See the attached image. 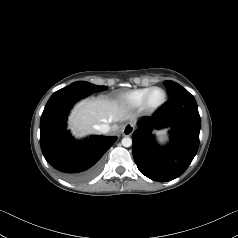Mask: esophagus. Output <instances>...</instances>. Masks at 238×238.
Segmentation results:
<instances>
[{
	"label": "esophagus",
	"instance_id": "1",
	"mask_svg": "<svg viewBox=\"0 0 238 238\" xmlns=\"http://www.w3.org/2000/svg\"><path fill=\"white\" fill-rule=\"evenodd\" d=\"M134 125L132 123H127L122 128V134L124 136H130L134 132Z\"/></svg>",
	"mask_w": 238,
	"mask_h": 238
}]
</instances>
